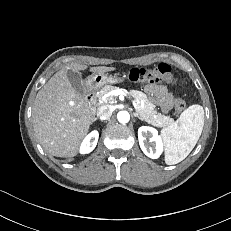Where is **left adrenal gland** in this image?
Here are the masks:
<instances>
[{"label": "left adrenal gland", "mask_w": 231, "mask_h": 231, "mask_svg": "<svg viewBox=\"0 0 231 231\" xmlns=\"http://www.w3.org/2000/svg\"><path fill=\"white\" fill-rule=\"evenodd\" d=\"M133 115L137 117L138 119L142 120V118L138 115V113L134 112Z\"/></svg>", "instance_id": "a2214340"}]
</instances>
